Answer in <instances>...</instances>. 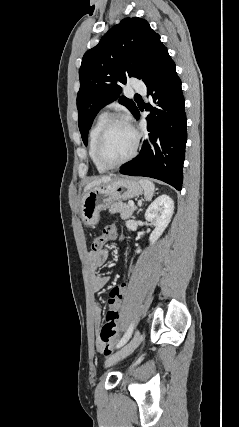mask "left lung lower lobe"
<instances>
[{"mask_svg":"<svg viewBox=\"0 0 239 427\" xmlns=\"http://www.w3.org/2000/svg\"><path fill=\"white\" fill-rule=\"evenodd\" d=\"M146 86L152 98L145 106L151 112L146 118L149 133L140 154L123 164L120 173L155 178L180 191L187 132L181 81L173 60ZM135 117L139 119V111Z\"/></svg>","mask_w":239,"mask_h":427,"instance_id":"1","label":"left lung lower lobe"}]
</instances>
